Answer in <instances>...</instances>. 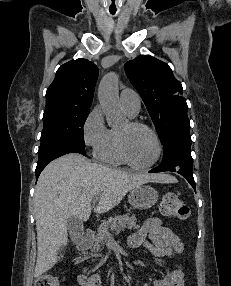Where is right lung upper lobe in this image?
I'll return each mask as SVG.
<instances>
[{
	"label": "right lung upper lobe",
	"mask_w": 231,
	"mask_h": 286,
	"mask_svg": "<svg viewBox=\"0 0 231 286\" xmlns=\"http://www.w3.org/2000/svg\"><path fill=\"white\" fill-rule=\"evenodd\" d=\"M97 77V66L86 59L63 64L47 89L46 107L61 105L90 108Z\"/></svg>",
	"instance_id": "obj_1"
}]
</instances>
